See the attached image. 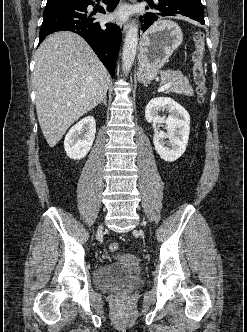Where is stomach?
I'll return each instance as SVG.
<instances>
[{
  "label": "stomach",
  "mask_w": 247,
  "mask_h": 332,
  "mask_svg": "<svg viewBox=\"0 0 247 332\" xmlns=\"http://www.w3.org/2000/svg\"><path fill=\"white\" fill-rule=\"evenodd\" d=\"M183 33L170 20L155 22L142 36L138 54V79L149 82L169 61L172 53L181 45Z\"/></svg>",
  "instance_id": "obj_1"
}]
</instances>
